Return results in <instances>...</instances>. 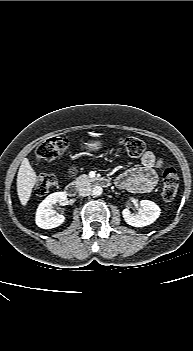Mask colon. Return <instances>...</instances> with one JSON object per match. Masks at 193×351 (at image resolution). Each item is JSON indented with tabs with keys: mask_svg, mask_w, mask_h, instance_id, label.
Instances as JSON below:
<instances>
[{
	"mask_svg": "<svg viewBox=\"0 0 193 351\" xmlns=\"http://www.w3.org/2000/svg\"><path fill=\"white\" fill-rule=\"evenodd\" d=\"M120 148L131 157L141 156L146 149L145 143L136 137H124L117 141ZM70 140L66 137L55 136L40 142L36 148V156L40 160H53L66 154ZM56 184V179L51 174H42L35 184V193L38 196L48 194ZM179 175L177 171L168 167L162 175L161 195L164 201H172L178 192Z\"/></svg>",
	"mask_w": 193,
	"mask_h": 351,
	"instance_id": "colon-1",
	"label": "colon"
}]
</instances>
